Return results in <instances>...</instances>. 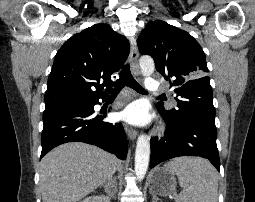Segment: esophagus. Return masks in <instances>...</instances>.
<instances>
[{
    "label": "esophagus",
    "mask_w": 255,
    "mask_h": 202,
    "mask_svg": "<svg viewBox=\"0 0 255 202\" xmlns=\"http://www.w3.org/2000/svg\"><path fill=\"white\" fill-rule=\"evenodd\" d=\"M138 48L136 43V38H133L131 41V50H130V56H129V62L133 70H136L138 68ZM124 130L131 140H134L137 136V131L130 127L127 124H124Z\"/></svg>",
    "instance_id": "34e87169"
}]
</instances>
